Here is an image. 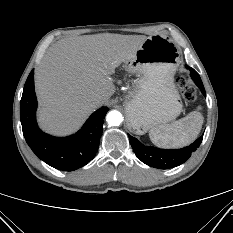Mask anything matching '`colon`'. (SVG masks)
I'll return each instance as SVG.
<instances>
[{
    "mask_svg": "<svg viewBox=\"0 0 233 233\" xmlns=\"http://www.w3.org/2000/svg\"><path fill=\"white\" fill-rule=\"evenodd\" d=\"M177 85L180 89L183 100L186 103H191L196 98V93L193 87L188 84L187 78L180 76L177 78Z\"/></svg>",
    "mask_w": 233,
    "mask_h": 233,
    "instance_id": "5ec220e1",
    "label": "colon"
}]
</instances>
